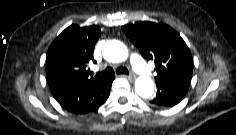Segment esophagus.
Instances as JSON below:
<instances>
[{
  "label": "esophagus",
  "instance_id": "34e87169",
  "mask_svg": "<svg viewBox=\"0 0 236 135\" xmlns=\"http://www.w3.org/2000/svg\"><path fill=\"white\" fill-rule=\"evenodd\" d=\"M121 76L126 77L130 81H134L135 80V77L132 76V75H121Z\"/></svg>",
  "mask_w": 236,
  "mask_h": 135
}]
</instances>
